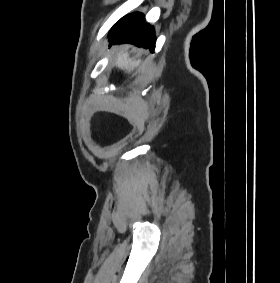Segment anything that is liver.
I'll return each instance as SVG.
<instances>
[{
  "label": "liver",
  "mask_w": 280,
  "mask_h": 283,
  "mask_svg": "<svg viewBox=\"0 0 280 283\" xmlns=\"http://www.w3.org/2000/svg\"><path fill=\"white\" fill-rule=\"evenodd\" d=\"M138 64V61H133L132 58L129 57L127 51L120 53L116 60V66L120 69L131 70Z\"/></svg>",
  "instance_id": "6515ba94"
}]
</instances>
